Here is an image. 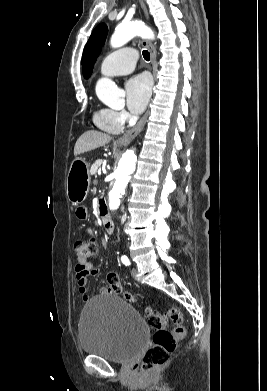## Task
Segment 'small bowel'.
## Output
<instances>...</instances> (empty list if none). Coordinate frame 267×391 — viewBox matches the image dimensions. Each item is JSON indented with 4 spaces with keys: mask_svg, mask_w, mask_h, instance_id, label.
<instances>
[{
    "mask_svg": "<svg viewBox=\"0 0 267 391\" xmlns=\"http://www.w3.org/2000/svg\"><path fill=\"white\" fill-rule=\"evenodd\" d=\"M76 216L79 219L87 218V209L83 206L78 207L76 210ZM98 272L99 269L93 265H90L84 269H80L76 267L77 288L84 302L90 299V296L88 295V291H87L88 278L90 276L97 275ZM100 294L107 295L110 294V291L106 287H103L100 289Z\"/></svg>",
    "mask_w": 267,
    "mask_h": 391,
    "instance_id": "small-bowel-1",
    "label": "small bowel"
}]
</instances>
